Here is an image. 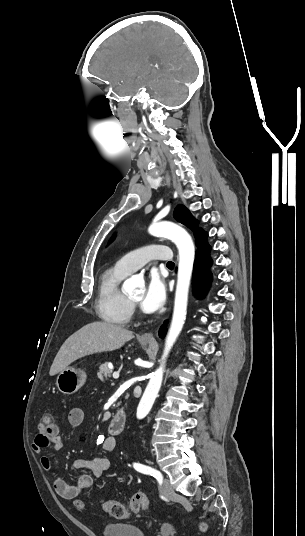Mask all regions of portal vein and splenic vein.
<instances>
[{
	"instance_id": "portal-vein-and-splenic-vein-1",
	"label": "portal vein and splenic vein",
	"mask_w": 305,
	"mask_h": 536,
	"mask_svg": "<svg viewBox=\"0 0 305 536\" xmlns=\"http://www.w3.org/2000/svg\"><path fill=\"white\" fill-rule=\"evenodd\" d=\"M113 378L114 380H117V378H119V372H114Z\"/></svg>"
}]
</instances>
